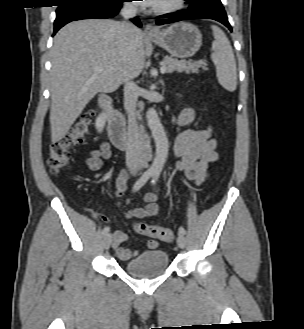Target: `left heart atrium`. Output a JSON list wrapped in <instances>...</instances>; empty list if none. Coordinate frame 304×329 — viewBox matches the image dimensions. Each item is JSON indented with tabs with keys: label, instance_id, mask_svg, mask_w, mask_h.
I'll return each instance as SVG.
<instances>
[{
	"label": "left heart atrium",
	"instance_id": "1",
	"mask_svg": "<svg viewBox=\"0 0 304 329\" xmlns=\"http://www.w3.org/2000/svg\"><path fill=\"white\" fill-rule=\"evenodd\" d=\"M159 0H143V5L149 7H155Z\"/></svg>",
	"mask_w": 304,
	"mask_h": 329
}]
</instances>
